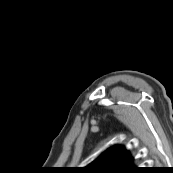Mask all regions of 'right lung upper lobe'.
<instances>
[{
  "label": "right lung upper lobe",
  "instance_id": "obj_1",
  "mask_svg": "<svg viewBox=\"0 0 173 173\" xmlns=\"http://www.w3.org/2000/svg\"><path fill=\"white\" fill-rule=\"evenodd\" d=\"M132 160L124 147H112L83 171L86 173H128L134 168Z\"/></svg>",
  "mask_w": 173,
  "mask_h": 173
}]
</instances>
